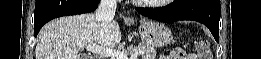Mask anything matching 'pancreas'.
I'll list each match as a JSON object with an SVG mask.
<instances>
[{
	"label": "pancreas",
	"instance_id": "obj_1",
	"mask_svg": "<svg viewBox=\"0 0 261 59\" xmlns=\"http://www.w3.org/2000/svg\"><path fill=\"white\" fill-rule=\"evenodd\" d=\"M143 51L142 59H156V50L146 44H139L138 46H129L126 50V54L133 55L136 52Z\"/></svg>",
	"mask_w": 261,
	"mask_h": 59
}]
</instances>
